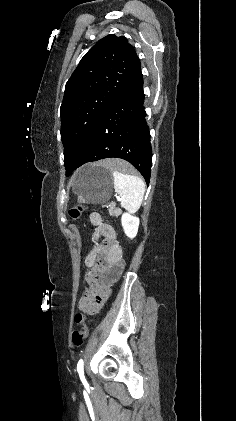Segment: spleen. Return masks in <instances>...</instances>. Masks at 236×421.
Returning <instances> with one entry per match:
<instances>
[{
  "label": "spleen",
  "mask_w": 236,
  "mask_h": 421,
  "mask_svg": "<svg viewBox=\"0 0 236 421\" xmlns=\"http://www.w3.org/2000/svg\"><path fill=\"white\" fill-rule=\"evenodd\" d=\"M113 162H109L105 168H111ZM114 176L115 192L120 194L121 206L126 208L128 213H136L140 208L145 192V182L134 174H123L117 168H112Z\"/></svg>",
  "instance_id": "spleen-1"
}]
</instances>
